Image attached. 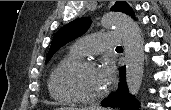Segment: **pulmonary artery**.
Returning a JSON list of instances; mask_svg holds the SVG:
<instances>
[{"label": "pulmonary artery", "instance_id": "obj_1", "mask_svg": "<svg viewBox=\"0 0 171 110\" xmlns=\"http://www.w3.org/2000/svg\"><path fill=\"white\" fill-rule=\"evenodd\" d=\"M120 34L116 32L96 33L77 40L72 50L79 55L96 54L109 47L118 46Z\"/></svg>", "mask_w": 171, "mask_h": 110}]
</instances>
